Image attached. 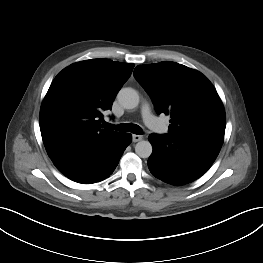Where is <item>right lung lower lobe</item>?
I'll list each match as a JSON object with an SVG mask.
<instances>
[{"instance_id": "1", "label": "right lung lower lobe", "mask_w": 263, "mask_h": 263, "mask_svg": "<svg viewBox=\"0 0 263 263\" xmlns=\"http://www.w3.org/2000/svg\"><path fill=\"white\" fill-rule=\"evenodd\" d=\"M131 140V134L121 133L104 145L75 152L58 160L54 165L75 182H100L113 173Z\"/></svg>"}]
</instances>
